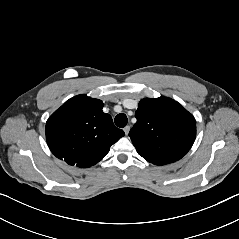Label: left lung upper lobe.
<instances>
[{
  "label": "left lung upper lobe",
  "instance_id": "left-lung-upper-lobe-1",
  "mask_svg": "<svg viewBox=\"0 0 239 239\" xmlns=\"http://www.w3.org/2000/svg\"><path fill=\"white\" fill-rule=\"evenodd\" d=\"M137 122L129 136L140 156L155 165L181 159L196 137V121L171 98H146L139 102Z\"/></svg>",
  "mask_w": 239,
  "mask_h": 239
}]
</instances>
